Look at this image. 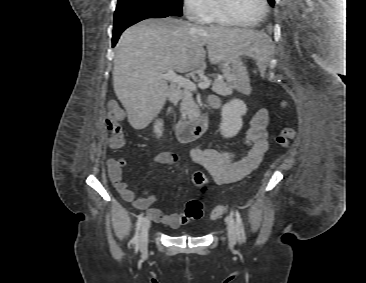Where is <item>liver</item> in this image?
<instances>
[{"label":"liver","instance_id":"6515ba94","mask_svg":"<svg viewBox=\"0 0 366 283\" xmlns=\"http://www.w3.org/2000/svg\"><path fill=\"white\" fill-rule=\"evenodd\" d=\"M266 36L248 28L201 27L176 18L146 19L126 29L115 47L113 87L130 125L145 128L168 97L162 75L194 71L235 55L263 60Z\"/></svg>","mask_w":366,"mask_h":283}]
</instances>
